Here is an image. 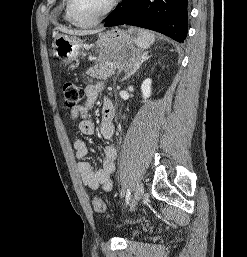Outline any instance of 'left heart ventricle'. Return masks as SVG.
<instances>
[{"mask_svg": "<svg viewBox=\"0 0 247 257\" xmlns=\"http://www.w3.org/2000/svg\"><path fill=\"white\" fill-rule=\"evenodd\" d=\"M112 0H73L75 16L81 21H90L101 14Z\"/></svg>", "mask_w": 247, "mask_h": 257, "instance_id": "left-heart-ventricle-1", "label": "left heart ventricle"}]
</instances>
